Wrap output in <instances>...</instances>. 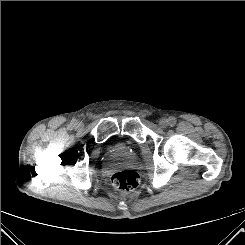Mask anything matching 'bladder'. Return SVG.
Returning a JSON list of instances; mask_svg holds the SVG:
<instances>
[{
  "label": "bladder",
  "mask_w": 245,
  "mask_h": 245,
  "mask_svg": "<svg viewBox=\"0 0 245 245\" xmlns=\"http://www.w3.org/2000/svg\"><path fill=\"white\" fill-rule=\"evenodd\" d=\"M119 148H120V146L118 145V146H117V149H119Z\"/></svg>",
  "instance_id": "obj_1"
}]
</instances>
